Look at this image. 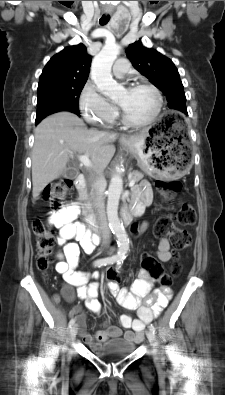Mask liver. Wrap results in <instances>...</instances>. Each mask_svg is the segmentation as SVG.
Masks as SVG:
<instances>
[{
  "label": "liver",
  "mask_w": 225,
  "mask_h": 395,
  "mask_svg": "<svg viewBox=\"0 0 225 395\" xmlns=\"http://www.w3.org/2000/svg\"><path fill=\"white\" fill-rule=\"evenodd\" d=\"M117 133L88 130L78 116L58 112L46 117L35 128L32 150V196L36 200L47 184L66 169L74 153L86 154L93 170H103L115 154L112 143Z\"/></svg>",
  "instance_id": "1"
}]
</instances>
